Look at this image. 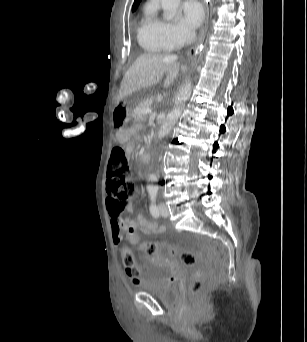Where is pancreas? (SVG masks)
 Returning a JSON list of instances; mask_svg holds the SVG:
<instances>
[{"label":"pancreas","instance_id":"cf45deb5","mask_svg":"<svg viewBox=\"0 0 307 342\" xmlns=\"http://www.w3.org/2000/svg\"><path fill=\"white\" fill-rule=\"evenodd\" d=\"M152 106V98H148V100H142V102H140V104H138V106L134 109L136 119H144L145 114L143 110H147V108H152Z\"/></svg>","mask_w":307,"mask_h":342}]
</instances>
